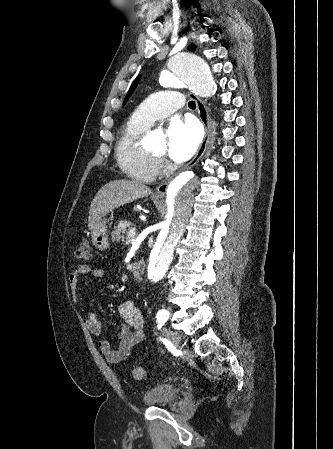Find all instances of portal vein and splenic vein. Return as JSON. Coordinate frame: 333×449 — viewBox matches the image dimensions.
I'll return each mask as SVG.
<instances>
[{"label": "portal vein and splenic vein", "instance_id": "18ae733b", "mask_svg": "<svg viewBox=\"0 0 333 449\" xmlns=\"http://www.w3.org/2000/svg\"><path fill=\"white\" fill-rule=\"evenodd\" d=\"M129 236H131V237H133V238H135L136 237V232H135V230L134 229H131V230H129Z\"/></svg>", "mask_w": 333, "mask_h": 449}]
</instances>
